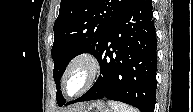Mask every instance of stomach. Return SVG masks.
I'll return each mask as SVG.
<instances>
[{"instance_id": "stomach-1", "label": "stomach", "mask_w": 193, "mask_h": 112, "mask_svg": "<svg viewBox=\"0 0 193 112\" xmlns=\"http://www.w3.org/2000/svg\"><path fill=\"white\" fill-rule=\"evenodd\" d=\"M75 112H111V109L103 101H95L86 103Z\"/></svg>"}]
</instances>
